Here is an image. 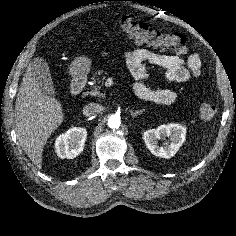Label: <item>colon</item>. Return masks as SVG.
<instances>
[{"label":"colon","instance_id":"obj_1","mask_svg":"<svg viewBox=\"0 0 236 236\" xmlns=\"http://www.w3.org/2000/svg\"><path fill=\"white\" fill-rule=\"evenodd\" d=\"M119 27L124 34L138 44L177 50L185 43V38L181 34L164 33L128 17L120 19ZM199 112L203 119L210 120L216 115L217 108L214 104L205 102L200 105Z\"/></svg>","mask_w":236,"mask_h":236}]
</instances>
